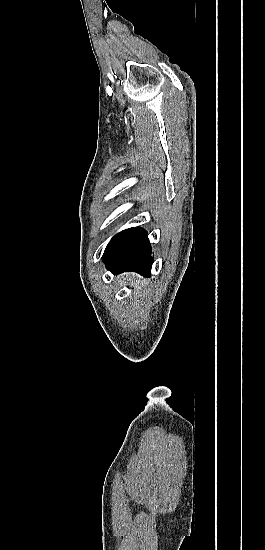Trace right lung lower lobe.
<instances>
[{
	"label": "right lung lower lobe",
	"instance_id": "right-lung-lower-lobe-1",
	"mask_svg": "<svg viewBox=\"0 0 265 550\" xmlns=\"http://www.w3.org/2000/svg\"><path fill=\"white\" fill-rule=\"evenodd\" d=\"M103 261L113 273L135 271L149 276L154 258L146 231L134 228L116 249L104 253Z\"/></svg>",
	"mask_w": 265,
	"mask_h": 550
}]
</instances>
